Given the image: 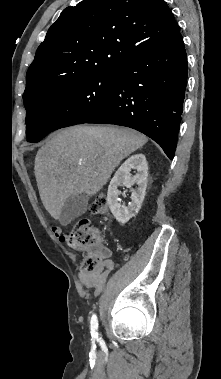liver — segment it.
<instances>
[{
  "label": "liver",
  "instance_id": "obj_1",
  "mask_svg": "<svg viewBox=\"0 0 221 379\" xmlns=\"http://www.w3.org/2000/svg\"><path fill=\"white\" fill-rule=\"evenodd\" d=\"M147 141L135 130L115 126H75L57 132L35 158V177L45 209L59 219L69 197L95 195L120 162Z\"/></svg>",
  "mask_w": 221,
  "mask_h": 379
}]
</instances>
